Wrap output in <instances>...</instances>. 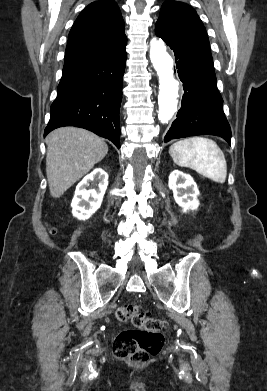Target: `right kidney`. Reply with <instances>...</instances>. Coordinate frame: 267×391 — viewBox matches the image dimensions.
Masks as SVG:
<instances>
[{"label":"right kidney","mask_w":267,"mask_h":391,"mask_svg":"<svg viewBox=\"0 0 267 391\" xmlns=\"http://www.w3.org/2000/svg\"><path fill=\"white\" fill-rule=\"evenodd\" d=\"M90 183H93V188L87 190ZM107 186L108 174L101 168L85 176L77 185L71 203L74 217L80 220L90 218L100 208Z\"/></svg>","instance_id":"right-kidney-1"}]
</instances>
